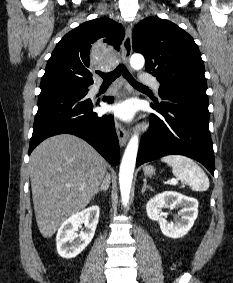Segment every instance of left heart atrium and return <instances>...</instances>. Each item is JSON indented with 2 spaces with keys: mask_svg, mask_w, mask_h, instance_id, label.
<instances>
[{
  "mask_svg": "<svg viewBox=\"0 0 233 283\" xmlns=\"http://www.w3.org/2000/svg\"><path fill=\"white\" fill-rule=\"evenodd\" d=\"M110 111L119 119L129 121L133 118L135 108L130 101L120 102L111 106Z\"/></svg>",
  "mask_w": 233,
  "mask_h": 283,
  "instance_id": "obj_1",
  "label": "left heart atrium"
}]
</instances>
